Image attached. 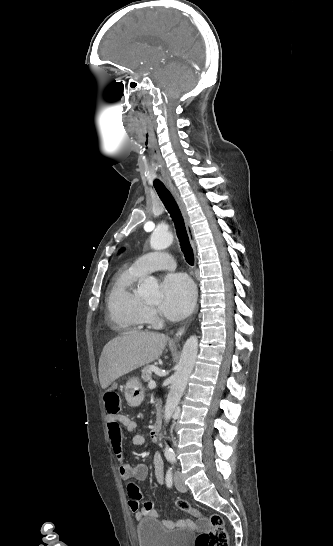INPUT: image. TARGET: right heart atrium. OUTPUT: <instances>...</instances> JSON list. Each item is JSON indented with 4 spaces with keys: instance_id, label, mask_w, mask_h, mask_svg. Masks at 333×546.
<instances>
[{
    "instance_id": "1",
    "label": "right heart atrium",
    "mask_w": 333,
    "mask_h": 546,
    "mask_svg": "<svg viewBox=\"0 0 333 546\" xmlns=\"http://www.w3.org/2000/svg\"><path fill=\"white\" fill-rule=\"evenodd\" d=\"M144 313L147 321L157 322L159 320L155 309L150 306H145Z\"/></svg>"
}]
</instances>
